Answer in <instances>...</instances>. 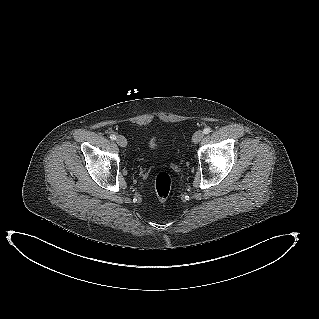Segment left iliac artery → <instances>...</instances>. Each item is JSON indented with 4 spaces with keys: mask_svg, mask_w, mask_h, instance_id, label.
Segmentation results:
<instances>
[{
    "mask_svg": "<svg viewBox=\"0 0 319 319\" xmlns=\"http://www.w3.org/2000/svg\"><path fill=\"white\" fill-rule=\"evenodd\" d=\"M211 132V128L210 127H206L204 130H203V133L204 134H209Z\"/></svg>",
    "mask_w": 319,
    "mask_h": 319,
    "instance_id": "1",
    "label": "left iliac artery"
}]
</instances>
